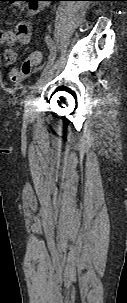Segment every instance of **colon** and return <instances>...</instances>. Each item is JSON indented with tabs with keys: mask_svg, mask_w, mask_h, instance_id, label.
Returning <instances> with one entry per match:
<instances>
[{
	"mask_svg": "<svg viewBox=\"0 0 127 303\" xmlns=\"http://www.w3.org/2000/svg\"><path fill=\"white\" fill-rule=\"evenodd\" d=\"M41 61L40 52L31 53L18 68H11L8 71V79L13 83L20 82L23 78L28 76L32 69Z\"/></svg>",
	"mask_w": 127,
	"mask_h": 303,
	"instance_id": "obj_1",
	"label": "colon"
}]
</instances>
